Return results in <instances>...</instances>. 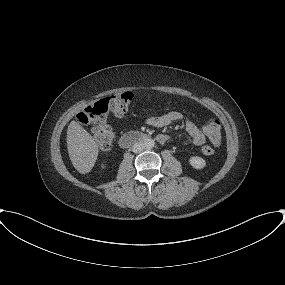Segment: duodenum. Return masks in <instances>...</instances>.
Wrapping results in <instances>:
<instances>
[{
  "mask_svg": "<svg viewBox=\"0 0 285 285\" xmlns=\"http://www.w3.org/2000/svg\"><path fill=\"white\" fill-rule=\"evenodd\" d=\"M150 138H151V136L148 134H145V133L130 132V133L122 135L119 138L118 144L121 148H127V147H130L132 145L145 142V141L149 140Z\"/></svg>",
  "mask_w": 285,
  "mask_h": 285,
  "instance_id": "obj_1",
  "label": "duodenum"
}]
</instances>
